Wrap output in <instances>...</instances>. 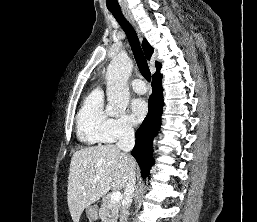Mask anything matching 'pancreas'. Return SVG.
Returning <instances> with one entry per match:
<instances>
[{"label": "pancreas", "instance_id": "1", "mask_svg": "<svg viewBox=\"0 0 257 222\" xmlns=\"http://www.w3.org/2000/svg\"><path fill=\"white\" fill-rule=\"evenodd\" d=\"M120 207V203H111L107 198H103L99 218L102 222H117Z\"/></svg>", "mask_w": 257, "mask_h": 222}]
</instances>
